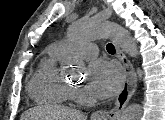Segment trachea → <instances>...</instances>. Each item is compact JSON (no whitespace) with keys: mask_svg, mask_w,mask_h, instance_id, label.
I'll list each match as a JSON object with an SVG mask.
<instances>
[{"mask_svg":"<svg viewBox=\"0 0 165 120\" xmlns=\"http://www.w3.org/2000/svg\"><path fill=\"white\" fill-rule=\"evenodd\" d=\"M106 49H107L108 53H110V54H114L115 53V47L111 43L107 44Z\"/></svg>","mask_w":165,"mask_h":120,"instance_id":"trachea-1","label":"trachea"}]
</instances>
